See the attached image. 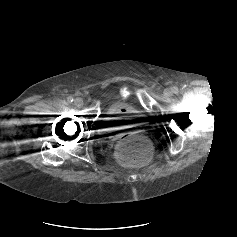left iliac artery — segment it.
<instances>
[{
  "instance_id": "obj_1",
  "label": "left iliac artery",
  "mask_w": 237,
  "mask_h": 237,
  "mask_svg": "<svg viewBox=\"0 0 237 237\" xmlns=\"http://www.w3.org/2000/svg\"><path fill=\"white\" fill-rule=\"evenodd\" d=\"M173 92L177 93L178 92V88L177 87H173Z\"/></svg>"
}]
</instances>
